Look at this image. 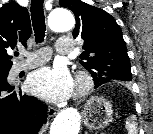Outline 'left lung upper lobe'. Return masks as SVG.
I'll return each mask as SVG.
<instances>
[{
    "label": "left lung upper lobe",
    "instance_id": "5c2ea615",
    "mask_svg": "<svg viewBox=\"0 0 153 134\" xmlns=\"http://www.w3.org/2000/svg\"><path fill=\"white\" fill-rule=\"evenodd\" d=\"M59 5L75 15L73 37L84 40L81 64L92 74L95 88L113 80L131 81L126 44L115 19L81 0H59Z\"/></svg>",
    "mask_w": 153,
    "mask_h": 134
}]
</instances>
